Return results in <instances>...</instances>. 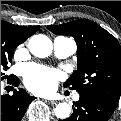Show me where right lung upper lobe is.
Here are the masks:
<instances>
[{
	"label": "right lung upper lobe",
	"instance_id": "cb5924a9",
	"mask_svg": "<svg viewBox=\"0 0 121 121\" xmlns=\"http://www.w3.org/2000/svg\"><path fill=\"white\" fill-rule=\"evenodd\" d=\"M11 25H13V24H11ZM13 26L18 30V32L21 34V36H23L25 39L32 36L39 29V26H34V27H22V26H18V25H13Z\"/></svg>",
	"mask_w": 121,
	"mask_h": 121
}]
</instances>
